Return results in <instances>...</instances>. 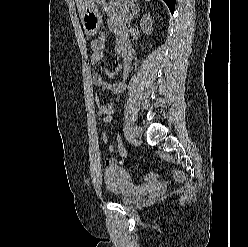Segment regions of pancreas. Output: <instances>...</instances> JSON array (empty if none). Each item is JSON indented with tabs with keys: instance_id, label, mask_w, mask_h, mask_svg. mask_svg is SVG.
<instances>
[{
	"instance_id": "pancreas-1",
	"label": "pancreas",
	"mask_w": 248,
	"mask_h": 247,
	"mask_svg": "<svg viewBox=\"0 0 248 247\" xmlns=\"http://www.w3.org/2000/svg\"><path fill=\"white\" fill-rule=\"evenodd\" d=\"M129 14L125 9L114 10L108 14L107 24L111 29H118L129 24Z\"/></svg>"
}]
</instances>
